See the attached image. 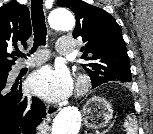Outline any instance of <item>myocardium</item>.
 Segmentation results:
<instances>
[{
	"label": "myocardium",
	"instance_id": "f54148a6",
	"mask_svg": "<svg viewBox=\"0 0 153 134\" xmlns=\"http://www.w3.org/2000/svg\"><path fill=\"white\" fill-rule=\"evenodd\" d=\"M90 87V79L86 74L79 75L76 83V94L83 95Z\"/></svg>",
	"mask_w": 153,
	"mask_h": 134
}]
</instances>
